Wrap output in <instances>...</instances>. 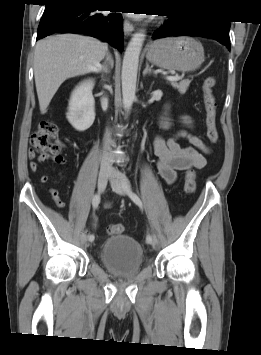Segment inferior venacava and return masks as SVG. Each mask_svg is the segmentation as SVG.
<instances>
[{
  "label": "inferior vena cava",
  "mask_w": 261,
  "mask_h": 355,
  "mask_svg": "<svg viewBox=\"0 0 261 355\" xmlns=\"http://www.w3.org/2000/svg\"><path fill=\"white\" fill-rule=\"evenodd\" d=\"M102 107L104 110L107 109L108 107V101L107 99H103L102 101ZM110 145H111V136L108 131H106L104 135V141H103V154L101 158V169H111L112 164H111V155L109 153L110 150Z\"/></svg>",
  "instance_id": "602c4592"
}]
</instances>
